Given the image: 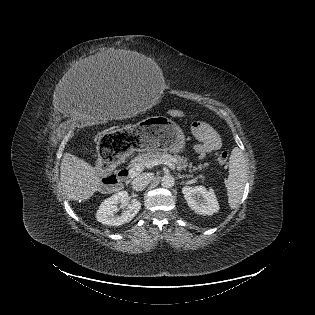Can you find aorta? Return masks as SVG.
Returning a JSON list of instances; mask_svg holds the SVG:
<instances>
[{
  "mask_svg": "<svg viewBox=\"0 0 315 315\" xmlns=\"http://www.w3.org/2000/svg\"><path fill=\"white\" fill-rule=\"evenodd\" d=\"M175 184V179L172 175H164L161 179V185L164 188H172Z\"/></svg>",
  "mask_w": 315,
  "mask_h": 315,
  "instance_id": "obj_1",
  "label": "aorta"
}]
</instances>
